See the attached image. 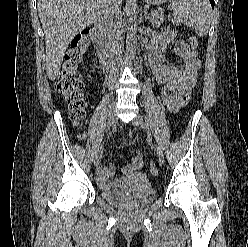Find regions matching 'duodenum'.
<instances>
[{"mask_svg":"<svg viewBox=\"0 0 248 247\" xmlns=\"http://www.w3.org/2000/svg\"><path fill=\"white\" fill-rule=\"evenodd\" d=\"M92 36L99 54L101 66L105 71H109L112 67V56L107 46L105 23L103 20L94 23L92 27Z\"/></svg>","mask_w":248,"mask_h":247,"instance_id":"1","label":"duodenum"}]
</instances>
